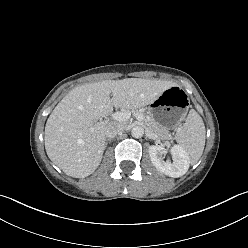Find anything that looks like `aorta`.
Returning a JSON list of instances; mask_svg holds the SVG:
<instances>
[{"mask_svg":"<svg viewBox=\"0 0 248 248\" xmlns=\"http://www.w3.org/2000/svg\"><path fill=\"white\" fill-rule=\"evenodd\" d=\"M131 135L134 138H141L144 135V129L141 126H135L131 130Z\"/></svg>","mask_w":248,"mask_h":248,"instance_id":"1","label":"aorta"}]
</instances>
